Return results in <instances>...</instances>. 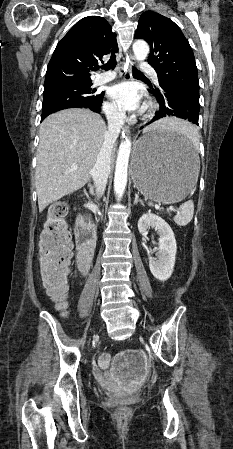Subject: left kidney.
I'll list each match as a JSON object with an SVG mask.
<instances>
[{
	"instance_id": "1",
	"label": "left kidney",
	"mask_w": 233,
	"mask_h": 449,
	"mask_svg": "<svg viewBox=\"0 0 233 449\" xmlns=\"http://www.w3.org/2000/svg\"><path fill=\"white\" fill-rule=\"evenodd\" d=\"M149 228L155 229L160 236L156 258L149 257V268L156 279L166 281L174 270L177 252L175 236L169 224L152 213L142 215L138 221V230L141 234H145Z\"/></svg>"
}]
</instances>
